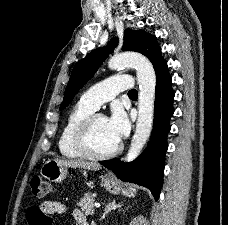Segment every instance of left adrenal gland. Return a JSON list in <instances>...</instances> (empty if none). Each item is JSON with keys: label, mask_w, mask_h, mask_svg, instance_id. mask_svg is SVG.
I'll return each mask as SVG.
<instances>
[{"label": "left adrenal gland", "mask_w": 228, "mask_h": 225, "mask_svg": "<svg viewBox=\"0 0 228 225\" xmlns=\"http://www.w3.org/2000/svg\"><path fill=\"white\" fill-rule=\"evenodd\" d=\"M121 207H123V205H121V203L120 205H116V201H113V203H107V205H105L104 213L100 221H102V219H105L108 213H111V211H115V209H121Z\"/></svg>", "instance_id": "1"}]
</instances>
